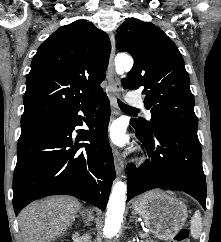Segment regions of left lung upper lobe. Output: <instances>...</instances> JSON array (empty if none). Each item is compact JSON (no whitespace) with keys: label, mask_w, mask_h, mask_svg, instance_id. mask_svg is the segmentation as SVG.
<instances>
[{"label":"left lung upper lobe","mask_w":221,"mask_h":242,"mask_svg":"<svg viewBox=\"0 0 221 242\" xmlns=\"http://www.w3.org/2000/svg\"><path fill=\"white\" fill-rule=\"evenodd\" d=\"M116 48L128 52L134 66L122 81L128 90L144 88L152 117L135 124L149 132L156 125L197 130L194 98L184 61L174 42L152 23L128 19L117 29Z\"/></svg>","instance_id":"5c2ea615"}]
</instances>
